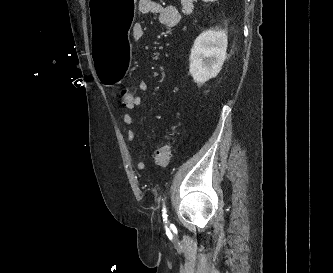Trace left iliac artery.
Instances as JSON below:
<instances>
[{"mask_svg": "<svg viewBox=\"0 0 333 273\" xmlns=\"http://www.w3.org/2000/svg\"><path fill=\"white\" fill-rule=\"evenodd\" d=\"M167 211H166V208H165V205H163V209H162V216H163V221L166 223L167 222Z\"/></svg>", "mask_w": 333, "mask_h": 273, "instance_id": "44dca946", "label": "left iliac artery"}]
</instances>
